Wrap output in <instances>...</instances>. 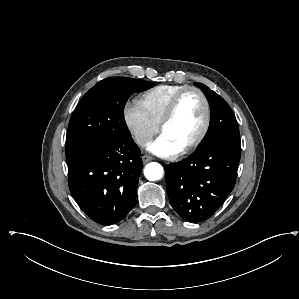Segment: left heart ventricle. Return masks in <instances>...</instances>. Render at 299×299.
Here are the masks:
<instances>
[{
	"instance_id": "left-heart-ventricle-1",
	"label": "left heart ventricle",
	"mask_w": 299,
	"mask_h": 299,
	"mask_svg": "<svg viewBox=\"0 0 299 299\" xmlns=\"http://www.w3.org/2000/svg\"><path fill=\"white\" fill-rule=\"evenodd\" d=\"M203 120V102L198 94L190 92L181 99L172 121L161 134L182 149L196 137Z\"/></svg>"
}]
</instances>
